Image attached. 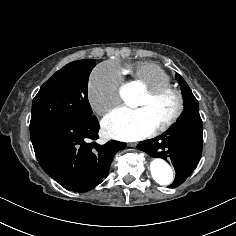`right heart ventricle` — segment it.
Instances as JSON below:
<instances>
[{"label":"right heart ventricle","instance_id":"obj_1","mask_svg":"<svg viewBox=\"0 0 236 236\" xmlns=\"http://www.w3.org/2000/svg\"><path fill=\"white\" fill-rule=\"evenodd\" d=\"M125 71L130 75L131 80L143 87L144 90H152L172 83L169 73L153 63L127 65Z\"/></svg>","mask_w":236,"mask_h":236}]
</instances>
